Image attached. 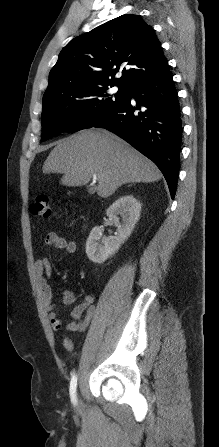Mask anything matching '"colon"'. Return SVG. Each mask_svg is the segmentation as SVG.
<instances>
[{"mask_svg":"<svg viewBox=\"0 0 219 447\" xmlns=\"http://www.w3.org/2000/svg\"><path fill=\"white\" fill-rule=\"evenodd\" d=\"M30 210L34 216L49 218L52 214L50 198L45 195L36 197L30 206Z\"/></svg>","mask_w":219,"mask_h":447,"instance_id":"5ec220e1","label":"colon"}]
</instances>
